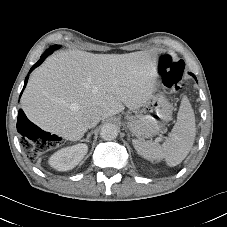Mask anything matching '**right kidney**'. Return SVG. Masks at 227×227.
<instances>
[{
    "label": "right kidney",
    "instance_id": "1",
    "mask_svg": "<svg viewBox=\"0 0 227 227\" xmlns=\"http://www.w3.org/2000/svg\"><path fill=\"white\" fill-rule=\"evenodd\" d=\"M88 151L86 144H77L55 152L49 159L51 167L58 171L73 169L84 158Z\"/></svg>",
    "mask_w": 227,
    "mask_h": 227
}]
</instances>
